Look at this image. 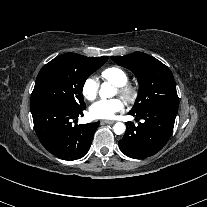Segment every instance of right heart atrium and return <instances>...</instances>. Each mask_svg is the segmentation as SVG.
I'll use <instances>...</instances> for the list:
<instances>
[{
	"instance_id": "d8ad5b80",
	"label": "right heart atrium",
	"mask_w": 207,
	"mask_h": 207,
	"mask_svg": "<svg viewBox=\"0 0 207 207\" xmlns=\"http://www.w3.org/2000/svg\"><path fill=\"white\" fill-rule=\"evenodd\" d=\"M98 81L94 76L85 79L82 85V94L88 100H93L98 94Z\"/></svg>"
}]
</instances>
